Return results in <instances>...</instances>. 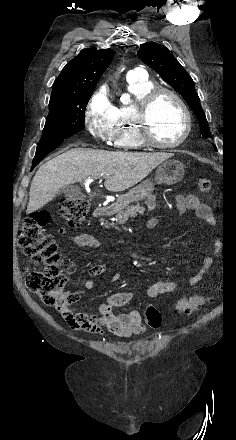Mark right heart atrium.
I'll return each mask as SVG.
<instances>
[{
	"mask_svg": "<svg viewBox=\"0 0 236 440\" xmlns=\"http://www.w3.org/2000/svg\"><path fill=\"white\" fill-rule=\"evenodd\" d=\"M114 109L105 86L92 93L85 107L84 123L94 139L104 143L113 142Z\"/></svg>",
	"mask_w": 236,
	"mask_h": 440,
	"instance_id": "right-heart-atrium-1",
	"label": "right heart atrium"
}]
</instances>
